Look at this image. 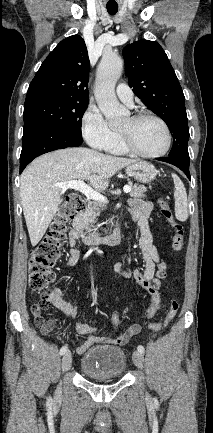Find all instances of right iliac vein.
<instances>
[{
    "label": "right iliac vein",
    "instance_id": "1",
    "mask_svg": "<svg viewBox=\"0 0 213 433\" xmlns=\"http://www.w3.org/2000/svg\"><path fill=\"white\" fill-rule=\"evenodd\" d=\"M71 364H72V355L68 351L62 357V361H61L62 371H67L68 369H70ZM60 394H61V388L59 387L56 391V396L59 397Z\"/></svg>",
    "mask_w": 213,
    "mask_h": 433
}]
</instances>
